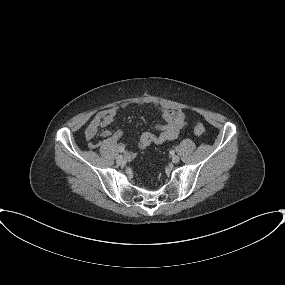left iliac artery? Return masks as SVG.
Instances as JSON below:
<instances>
[{
  "label": "left iliac artery",
  "instance_id": "1",
  "mask_svg": "<svg viewBox=\"0 0 285 285\" xmlns=\"http://www.w3.org/2000/svg\"><path fill=\"white\" fill-rule=\"evenodd\" d=\"M170 154H171V155H174V154H175V151H174V150H171V151H170Z\"/></svg>",
  "mask_w": 285,
  "mask_h": 285
}]
</instances>
